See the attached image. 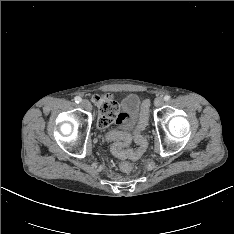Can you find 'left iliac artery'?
Masks as SVG:
<instances>
[{
  "label": "left iliac artery",
  "instance_id": "44dca946",
  "mask_svg": "<svg viewBox=\"0 0 234 234\" xmlns=\"http://www.w3.org/2000/svg\"><path fill=\"white\" fill-rule=\"evenodd\" d=\"M170 98H171V97H170L169 95H166V96L164 97V100H165V101H168V100H170Z\"/></svg>",
  "mask_w": 234,
  "mask_h": 234
}]
</instances>
